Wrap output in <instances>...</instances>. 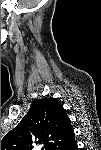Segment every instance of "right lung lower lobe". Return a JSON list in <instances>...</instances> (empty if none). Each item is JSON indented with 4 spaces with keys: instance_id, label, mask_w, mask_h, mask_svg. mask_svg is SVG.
I'll list each match as a JSON object with an SVG mask.
<instances>
[{
    "instance_id": "1",
    "label": "right lung lower lobe",
    "mask_w": 101,
    "mask_h": 150,
    "mask_svg": "<svg viewBox=\"0 0 101 150\" xmlns=\"http://www.w3.org/2000/svg\"><path fill=\"white\" fill-rule=\"evenodd\" d=\"M76 148V144L73 142L72 144H71V146H70V150L71 149H75Z\"/></svg>"
}]
</instances>
